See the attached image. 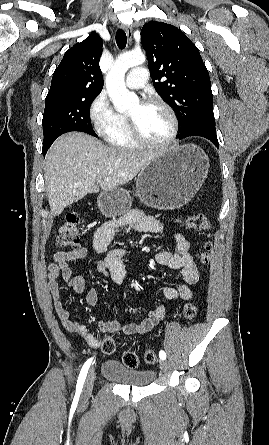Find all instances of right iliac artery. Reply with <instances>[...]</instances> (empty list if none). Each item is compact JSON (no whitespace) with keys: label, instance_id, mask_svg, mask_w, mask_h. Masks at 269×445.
<instances>
[{"label":"right iliac artery","instance_id":"obj_1","mask_svg":"<svg viewBox=\"0 0 269 445\" xmlns=\"http://www.w3.org/2000/svg\"><path fill=\"white\" fill-rule=\"evenodd\" d=\"M91 362H92V358L88 359L85 362V364L83 365V367H82V369L80 371V374H79V377H78V381H77V385H76V391L77 392H81L82 391V388H83V385H84V382H85V379H86L89 367L91 365Z\"/></svg>","mask_w":269,"mask_h":445}]
</instances>
